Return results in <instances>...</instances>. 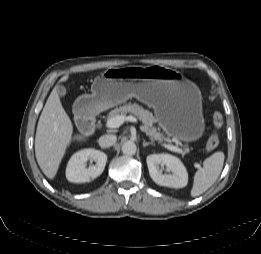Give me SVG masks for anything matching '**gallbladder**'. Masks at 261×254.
Instances as JSON below:
<instances>
[{"mask_svg":"<svg viewBox=\"0 0 261 254\" xmlns=\"http://www.w3.org/2000/svg\"><path fill=\"white\" fill-rule=\"evenodd\" d=\"M57 91L60 96H65L67 93V89L63 85H59Z\"/></svg>","mask_w":261,"mask_h":254,"instance_id":"bac80fb5","label":"gallbladder"}]
</instances>
